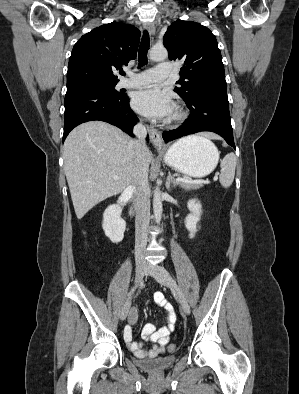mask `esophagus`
Listing matches in <instances>:
<instances>
[{"label":"esophagus","instance_id":"1","mask_svg":"<svg viewBox=\"0 0 299 394\" xmlns=\"http://www.w3.org/2000/svg\"><path fill=\"white\" fill-rule=\"evenodd\" d=\"M144 28L149 32V34L153 37L155 34V27L152 23H145ZM149 135H150V140L152 144L156 148H162L164 147L163 140L161 137L160 131H158L155 128L150 127L149 128Z\"/></svg>","mask_w":299,"mask_h":394}]
</instances>
